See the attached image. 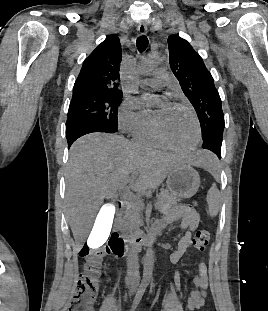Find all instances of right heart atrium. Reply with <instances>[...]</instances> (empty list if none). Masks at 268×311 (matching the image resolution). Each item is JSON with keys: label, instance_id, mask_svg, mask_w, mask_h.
<instances>
[{"label": "right heart atrium", "instance_id": "right-heart-atrium-1", "mask_svg": "<svg viewBox=\"0 0 268 311\" xmlns=\"http://www.w3.org/2000/svg\"><path fill=\"white\" fill-rule=\"evenodd\" d=\"M118 125L122 132L136 135L152 125V117L136 99L129 98L120 108Z\"/></svg>", "mask_w": 268, "mask_h": 311}]
</instances>
